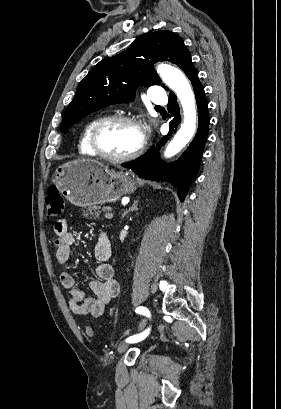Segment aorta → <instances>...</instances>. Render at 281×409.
Returning a JSON list of instances; mask_svg holds the SVG:
<instances>
[{"label": "aorta", "mask_w": 281, "mask_h": 409, "mask_svg": "<svg viewBox=\"0 0 281 409\" xmlns=\"http://www.w3.org/2000/svg\"><path fill=\"white\" fill-rule=\"evenodd\" d=\"M157 72L167 86L176 93L184 112L183 123L165 150V157L170 158L180 152L195 133L197 121L196 101L187 78L179 69L160 64L157 67Z\"/></svg>", "instance_id": "obj_1"}]
</instances>
